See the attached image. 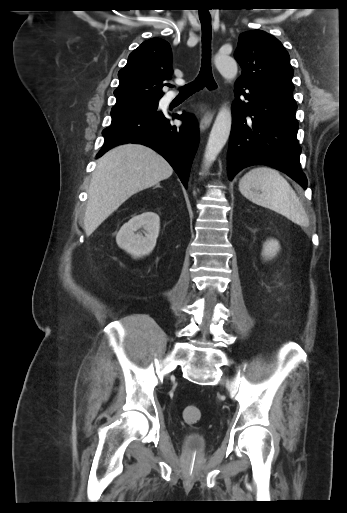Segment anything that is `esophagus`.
I'll list each match as a JSON object with an SVG mask.
<instances>
[{
  "label": "esophagus",
  "instance_id": "34e87169",
  "mask_svg": "<svg viewBox=\"0 0 347 513\" xmlns=\"http://www.w3.org/2000/svg\"><path fill=\"white\" fill-rule=\"evenodd\" d=\"M214 114H215V108H211L209 105L206 106L201 111V119H200V130L201 131H204L205 129H207L210 126Z\"/></svg>",
  "mask_w": 347,
  "mask_h": 513
}]
</instances>
